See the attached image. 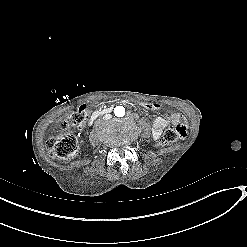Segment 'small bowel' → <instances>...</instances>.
<instances>
[{
	"mask_svg": "<svg viewBox=\"0 0 247 247\" xmlns=\"http://www.w3.org/2000/svg\"><path fill=\"white\" fill-rule=\"evenodd\" d=\"M183 121V116L179 113H174L169 116H159L153 122V136L155 140H158L162 131L169 124H179Z\"/></svg>",
	"mask_w": 247,
	"mask_h": 247,
	"instance_id": "obj_1",
	"label": "small bowel"
}]
</instances>
